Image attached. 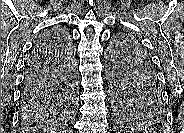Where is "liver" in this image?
<instances>
[{"mask_svg": "<svg viewBox=\"0 0 184 133\" xmlns=\"http://www.w3.org/2000/svg\"><path fill=\"white\" fill-rule=\"evenodd\" d=\"M32 131L35 133H39V132L40 133H49V132L54 133V131H56V129L48 128L44 125H39V126L34 127V129Z\"/></svg>", "mask_w": 184, "mask_h": 133, "instance_id": "6515ba94", "label": "liver"}]
</instances>
